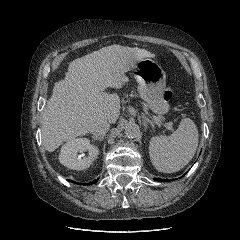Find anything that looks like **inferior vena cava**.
I'll return each instance as SVG.
<instances>
[{
	"label": "inferior vena cava",
	"mask_w": 240,
	"mask_h": 240,
	"mask_svg": "<svg viewBox=\"0 0 240 240\" xmlns=\"http://www.w3.org/2000/svg\"><path fill=\"white\" fill-rule=\"evenodd\" d=\"M110 124L106 120L98 122L91 130V133L95 136H101L108 132Z\"/></svg>",
	"instance_id": "602c4592"
}]
</instances>
